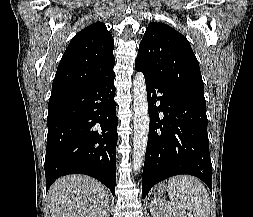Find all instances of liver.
Here are the masks:
<instances>
[{"instance_id": "1", "label": "liver", "mask_w": 253, "mask_h": 217, "mask_svg": "<svg viewBox=\"0 0 253 217\" xmlns=\"http://www.w3.org/2000/svg\"><path fill=\"white\" fill-rule=\"evenodd\" d=\"M51 217H107L109 194L99 181L81 174L56 180L48 191Z\"/></svg>"}]
</instances>
